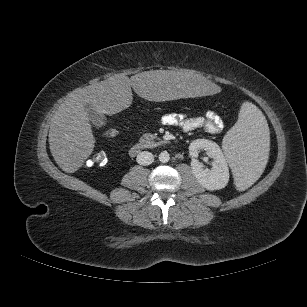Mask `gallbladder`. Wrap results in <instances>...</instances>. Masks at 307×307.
<instances>
[{
	"label": "gallbladder",
	"mask_w": 307,
	"mask_h": 307,
	"mask_svg": "<svg viewBox=\"0 0 307 307\" xmlns=\"http://www.w3.org/2000/svg\"><path fill=\"white\" fill-rule=\"evenodd\" d=\"M87 116L88 119L95 125L101 127L102 125L105 124V117L104 115L98 113L96 110L93 108L87 106Z\"/></svg>",
	"instance_id": "gallbladder-1"
}]
</instances>
